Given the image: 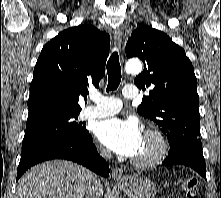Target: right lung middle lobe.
Listing matches in <instances>:
<instances>
[{"label": "right lung middle lobe", "instance_id": "obj_1", "mask_svg": "<svg viewBox=\"0 0 221 198\" xmlns=\"http://www.w3.org/2000/svg\"><path fill=\"white\" fill-rule=\"evenodd\" d=\"M78 114L79 112L52 114L27 122L22 149L52 137H85L89 132L83 123L75 121Z\"/></svg>", "mask_w": 221, "mask_h": 198}]
</instances>
